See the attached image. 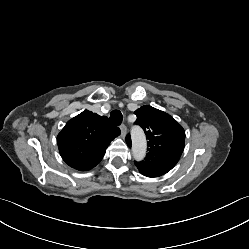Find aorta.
<instances>
[{
	"label": "aorta",
	"instance_id": "aorta-1",
	"mask_svg": "<svg viewBox=\"0 0 249 249\" xmlns=\"http://www.w3.org/2000/svg\"><path fill=\"white\" fill-rule=\"evenodd\" d=\"M132 137V153L133 157L140 161L146 154V138L143 130L140 127H134L131 131Z\"/></svg>",
	"mask_w": 249,
	"mask_h": 249
}]
</instances>
